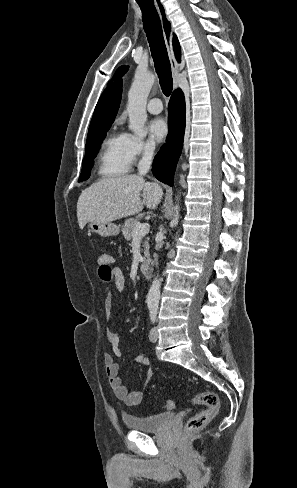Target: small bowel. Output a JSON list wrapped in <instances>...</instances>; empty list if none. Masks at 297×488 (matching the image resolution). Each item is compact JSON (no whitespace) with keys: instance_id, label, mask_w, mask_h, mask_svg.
Segmentation results:
<instances>
[{"instance_id":"1","label":"small bowel","mask_w":297,"mask_h":488,"mask_svg":"<svg viewBox=\"0 0 297 488\" xmlns=\"http://www.w3.org/2000/svg\"><path fill=\"white\" fill-rule=\"evenodd\" d=\"M114 262V257L110 255V262ZM99 278L103 283H112L116 291H123L125 289V278L119 267H112L110 265V273L108 278L104 277L98 271ZM113 304V293L109 292L105 301V310L107 316H110ZM108 341L112 348V353H106L103 357L105 372L109 380V385L112 388L115 396L125 402L127 405H137L142 401L144 391L154 376V370L149 368L146 373L145 382L141 389L129 392L127 387L123 384L119 376V364L115 361L116 357L121 356L119 349V337L116 332L109 331L107 334ZM134 362L142 366H150V359L145 354H140L134 358Z\"/></svg>"}]
</instances>
